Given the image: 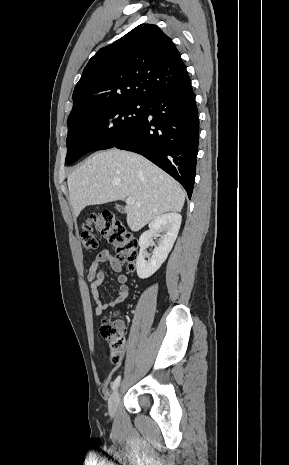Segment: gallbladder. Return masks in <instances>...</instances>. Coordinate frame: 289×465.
Instances as JSON below:
<instances>
[{
	"label": "gallbladder",
	"mask_w": 289,
	"mask_h": 465,
	"mask_svg": "<svg viewBox=\"0 0 289 465\" xmlns=\"http://www.w3.org/2000/svg\"><path fill=\"white\" fill-rule=\"evenodd\" d=\"M116 208H117L119 211L123 212V208H122L121 206H116Z\"/></svg>",
	"instance_id": "1"
}]
</instances>
